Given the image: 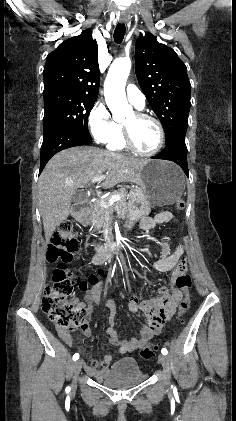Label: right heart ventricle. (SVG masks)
Returning a JSON list of instances; mask_svg holds the SVG:
<instances>
[{
  "instance_id": "1",
  "label": "right heart ventricle",
  "mask_w": 236,
  "mask_h": 421,
  "mask_svg": "<svg viewBox=\"0 0 236 421\" xmlns=\"http://www.w3.org/2000/svg\"><path fill=\"white\" fill-rule=\"evenodd\" d=\"M118 129L114 136L107 142V148L111 151H123L126 149L123 134H122V125L118 123Z\"/></svg>"
}]
</instances>
